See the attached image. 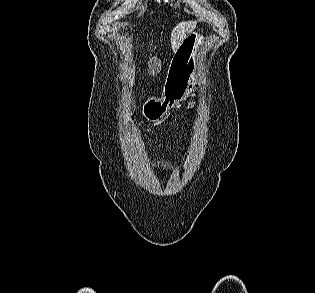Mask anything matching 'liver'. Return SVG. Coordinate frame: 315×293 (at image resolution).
Instances as JSON below:
<instances>
[{"mask_svg":"<svg viewBox=\"0 0 315 293\" xmlns=\"http://www.w3.org/2000/svg\"><path fill=\"white\" fill-rule=\"evenodd\" d=\"M195 26L196 22L188 21L180 22L173 28L171 33V46L173 52H175L178 49V47L181 45L182 41L185 39L188 33L194 30Z\"/></svg>","mask_w":315,"mask_h":293,"instance_id":"liver-1","label":"liver"}]
</instances>
